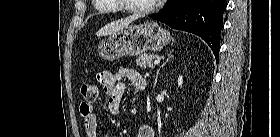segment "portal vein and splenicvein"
<instances>
[{"label": "portal vein and splenic vein", "instance_id": "obj_1", "mask_svg": "<svg viewBox=\"0 0 280 137\" xmlns=\"http://www.w3.org/2000/svg\"><path fill=\"white\" fill-rule=\"evenodd\" d=\"M159 62H160V60L157 59V60L154 61V64L156 65V64H158Z\"/></svg>", "mask_w": 280, "mask_h": 137}]
</instances>
